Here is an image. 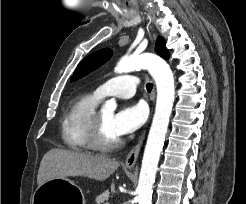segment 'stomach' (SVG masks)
<instances>
[{"label":"stomach","instance_id":"obj_1","mask_svg":"<svg viewBox=\"0 0 246 204\" xmlns=\"http://www.w3.org/2000/svg\"><path fill=\"white\" fill-rule=\"evenodd\" d=\"M82 190L70 179L54 178L40 185L32 204H84Z\"/></svg>","mask_w":246,"mask_h":204}]
</instances>
